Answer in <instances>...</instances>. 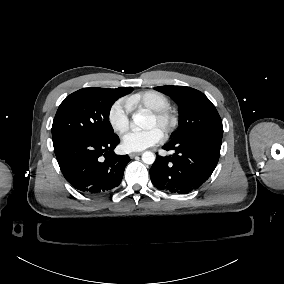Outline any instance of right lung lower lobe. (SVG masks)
<instances>
[{
	"instance_id": "right-lung-lower-lobe-1",
	"label": "right lung lower lobe",
	"mask_w": 284,
	"mask_h": 284,
	"mask_svg": "<svg viewBox=\"0 0 284 284\" xmlns=\"http://www.w3.org/2000/svg\"><path fill=\"white\" fill-rule=\"evenodd\" d=\"M119 142L116 134L75 138L54 147V152L63 176L75 189L84 194H103L121 183L130 161L129 156L113 152Z\"/></svg>"
}]
</instances>
